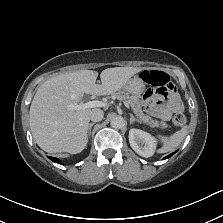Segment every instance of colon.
<instances>
[{"label": "colon", "instance_id": "colon-1", "mask_svg": "<svg viewBox=\"0 0 223 223\" xmlns=\"http://www.w3.org/2000/svg\"><path fill=\"white\" fill-rule=\"evenodd\" d=\"M140 78L153 86H167L168 88H174L170 77L161 71H144L140 74ZM186 123V117L183 113L177 112L173 117V124L177 127H182Z\"/></svg>", "mask_w": 223, "mask_h": 223}]
</instances>
